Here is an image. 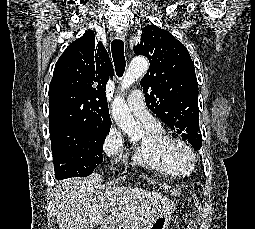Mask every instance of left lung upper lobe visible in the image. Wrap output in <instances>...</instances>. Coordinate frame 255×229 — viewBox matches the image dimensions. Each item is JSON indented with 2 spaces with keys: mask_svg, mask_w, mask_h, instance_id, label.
Returning a JSON list of instances; mask_svg holds the SVG:
<instances>
[{
  "mask_svg": "<svg viewBox=\"0 0 255 229\" xmlns=\"http://www.w3.org/2000/svg\"><path fill=\"white\" fill-rule=\"evenodd\" d=\"M134 53L150 61L140 82L147 107L199 150L198 83L186 47L168 31L149 25L143 28Z\"/></svg>",
  "mask_w": 255,
  "mask_h": 229,
  "instance_id": "5c2ea615",
  "label": "left lung upper lobe"
}]
</instances>
